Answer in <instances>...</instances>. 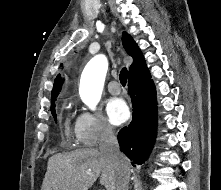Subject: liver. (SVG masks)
I'll return each mask as SVG.
<instances>
[{
	"label": "liver",
	"instance_id": "obj_1",
	"mask_svg": "<svg viewBox=\"0 0 221 190\" xmlns=\"http://www.w3.org/2000/svg\"><path fill=\"white\" fill-rule=\"evenodd\" d=\"M100 173V184L106 190H116L118 172L98 149L82 148L55 154L48 160L41 190H88Z\"/></svg>",
	"mask_w": 221,
	"mask_h": 190
}]
</instances>
